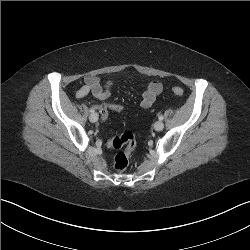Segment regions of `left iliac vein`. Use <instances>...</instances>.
Segmentation results:
<instances>
[{"label": "left iliac vein", "mask_w": 250, "mask_h": 250, "mask_svg": "<svg viewBox=\"0 0 250 250\" xmlns=\"http://www.w3.org/2000/svg\"><path fill=\"white\" fill-rule=\"evenodd\" d=\"M163 128H164L163 122H161V121L155 122V124H154V129H155L156 131H161Z\"/></svg>", "instance_id": "4c4485c4"}]
</instances>
